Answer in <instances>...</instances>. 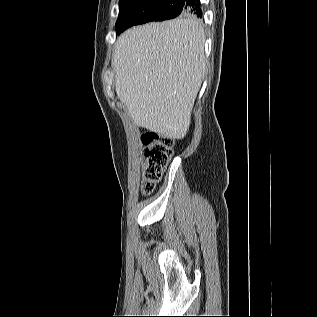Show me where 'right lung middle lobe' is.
I'll return each instance as SVG.
<instances>
[{
	"label": "right lung middle lobe",
	"mask_w": 317,
	"mask_h": 317,
	"mask_svg": "<svg viewBox=\"0 0 317 317\" xmlns=\"http://www.w3.org/2000/svg\"><path fill=\"white\" fill-rule=\"evenodd\" d=\"M181 8L178 0H120L117 32L120 34L133 25L168 20L179 15L183 18L193 17Z\"/></svg>",
	"instance_id": "obj_1"
}]
</instances>
